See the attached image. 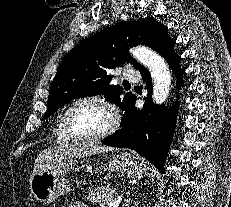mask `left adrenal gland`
I'll return each instance as SVG.
<instances>
[{
    "label": "left adrenal gland",
    "instance_id": "a2214340",
    "mask_svg": "<svg viewBox=\"0 0 231 207\" xmlns=\"http://www.w3.org/2000/svg\"><path fill=\"white\" fill-rule=\"evenodd\" d=\"M130 204V198H129V193L127 192V196L124 200V206L128 207Z\"/></svg>",
    "mask_w": 231,
    "mask_h": 207
}]
</instances>
